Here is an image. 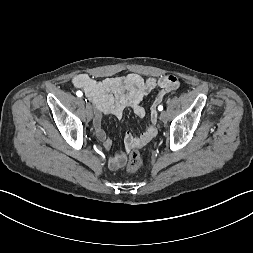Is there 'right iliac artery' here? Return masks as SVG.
I'll use <instances>...</instances> for the list:
<instances>
[{
    "label": "right iliac artery",
    "mask_w": 253,
    "mask_h": 253,
    "mask_svg": "<svg viewBox=\"0 0 253 253\" xmlns=\"http://www.w3.org/2000/svg\"><path fill=\"white\" fill-rule=\"evenodd\" d=\"M76 95H77L78 97H81V96L83 95V93H82L81 91H77V92H76Z\"/></svg>",
    "instance_id": "1"
}]
</instances>
